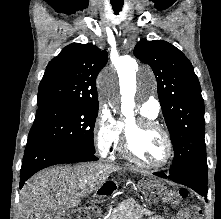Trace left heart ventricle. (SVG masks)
Here are the masks:
<instances>
[{
  "label": "left heart ventricle",
  "instance_id": "left-heart-ventricle-1",
  "mask_svg": "<svg viewBox=\"0 0 221 219\" xmlns=\"http://www.w3.org/2000/svg\"><path fill=\"white\" fill-rule=\"evenodd\" d=\"M133 152L148 164H159L166 154V142L163 135L153 129L137 128L135 122L127 124Z\"/></svg>",
  "mask_w": 221,
  "mask_h": 219
}]
</instances>
